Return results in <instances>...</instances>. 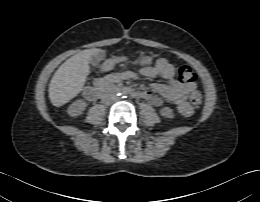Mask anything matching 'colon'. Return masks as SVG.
I'll use <instances>...</instances> for the list:
<instances>
[{"label": "colon", "mask_w": 260, "mask_h": 202, "mask_svg": "<svg viewBox=\"0 0 260 202\" xmlns=\"http://www.w3.org/2000/svg\"><path fill=\"white\" fill-rule=\"evenodd\" d=\"M179 79L182 83H193L196 80L194 71L189 66H182L179 69ZM190 101L193 105L198 106L202 101V94L200 91H193L190 94Z\"/></svg>", "instance_id": "colon-1"}]
</instances>
